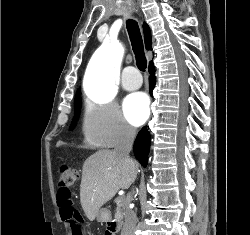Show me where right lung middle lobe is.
I'll list each match as a JSON object with an SVG mask.
<instances>
[{"label":"right lung middle lobe","mask_w":250,"mask_h":235,"mask_svg":"<svg viewBox=\"0 0 250 235\" xmlns=\"http://www.w3.org/2000/svg\"><path fill=\"white\" fill-rule=\"evenodd\" d=\"M81 94L76 95L75 97V101H74V106H75V115H74V119L71 123V128H73L76 125V121L79 118V114H80V110H81Z\"/></svg>","instance_id":"1"}]
</instances>
